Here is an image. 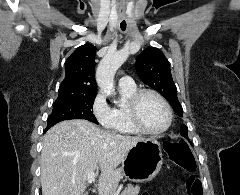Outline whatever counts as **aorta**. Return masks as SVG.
Wrapping results in <instances>:
<instances>
[{
    "label": "aorta",
    "mask_w": 240,
    "mask_h": 195,
    "mask_svg": "<svg viewBox=\"0 0 240 195\" xmlns=\"http://www.w3.org/2000/svg\"><path fill=\"white\" fill-rule=\"evenodd\" d=\"M127 58L126 50H122V52H108L100 60L96 70V82L101 92L106 96H116L114 88L115 74L120 66L126 62Z\"/></svg>",
    "instance_id": "762f6f07"
}]
</instances>
